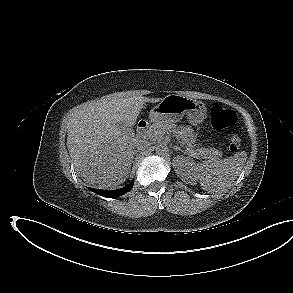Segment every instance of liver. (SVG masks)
<instances>
[{
	"label": "liver",
	"instance_id": "6515ba94",
	"mask_svg": "<svg viewBox=\"0 0 293 293\" xmlns=\"http://www.w3.org/2000/svg\"><path fill=\"white\" fill-rule=\"evenodd\" d=\"M147 98L132 93H114L90 101L76 109L68 122L67 148L78 174L101 188L116 187L128 177L135 154L134 135L117 128L135 125Z\"/></svg>",
	"mask_w": 293,
	"mask_h": 293
}]
</instances>
